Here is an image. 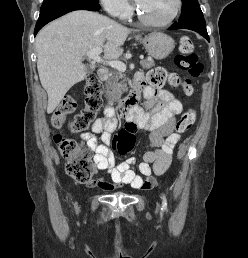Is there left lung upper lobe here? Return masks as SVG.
<instances>
[{"label":"left lung upper lobe","instance_id":"5c2ea615","mask_svg":"<svg viewBox=\"0 0 248 258\" xmlns=\"http://www.w3.org/2000/svg\"><path fill=\"white\" fill-rule=\"evenodd\" d=\"M182 2L184 9L178 23L184 24L195 19L203 18L198 0H182Z\"/></svg>","mask_w":248,"mask_h":258}]
</instances>
